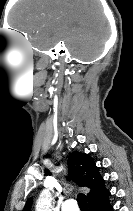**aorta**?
Instances as JSON below:
<instances>
[{
    "label": "aorta",
    "mask_w": 133,
    "mask_h": 211,
    "mask_svg": "<svg viewBox=\"0 0 133 211\" xmlns=\"http://www.w3.org/2000/svg\"><path fill=\"white\" fill-rule=\"evenodd\" d=\"M53 197L49 190L45 189L41 192L37 202L35 211H52Z\"/></svg>",
    "instance_id": "obj_1"
}]
</instances>
